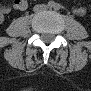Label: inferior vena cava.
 I'll use <instances>...</instances> for the list:
<instances>
[{"mask_svg":"<svg viewBox=\"0 0 91 91\" xmlns=\"http://www.w3.org/2000/svg\"><path fill=\"white\" fill-rule=\"evenodd\" d=\"M45 9H47V5L42 4V5L34 6L33 10H34V12H40V11L45 10Z\"/></svg>","mask_w":91,"mask_h":91,"instance_id":"1","label":"inferior vena cava"}]
</instances>
